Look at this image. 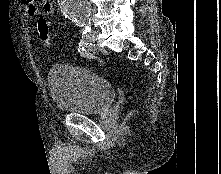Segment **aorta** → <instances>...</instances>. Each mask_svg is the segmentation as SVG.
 Segmentation results:
<instances>
[{"label":"aorta","mask_w":221,"mask_h":174,"mask_svg":"<svg viewBox=\"0 0 221 174\" xmlns=\"http://www.w3.org/2000/svg\"><path fill=\"white\" fill-rule=\"evenodd\" d=\"M91 0H59L63 14L75 21H87L90 17Z\"/></svg>","instance_id":"762f6f07"}]
</instances>
